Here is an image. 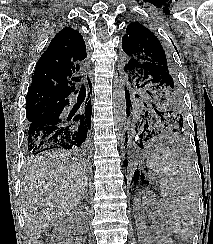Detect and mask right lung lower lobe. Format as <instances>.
<instances>
[{
    "label": "right lung lower lobe",
    "instance_id": "right-lung-lower-lobe-1",
    "mask_svg": "<svg viewBox=\"0 0 213 244\" xmlns=\"http://www.w3.org/2000/svg\"><path fill=\"white\" fill-rule=\"evenodd\" d=\"M77 93V91H75ZM69 100L48 106L37 118L29 123L27 129V151L37 155L49 149L89 148V130L91 124V99L85 103V113L64 114Z\"/></svg>",
    "mask_w": 213,
    "mask_h": 244
}]
</instances>
